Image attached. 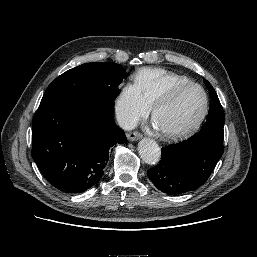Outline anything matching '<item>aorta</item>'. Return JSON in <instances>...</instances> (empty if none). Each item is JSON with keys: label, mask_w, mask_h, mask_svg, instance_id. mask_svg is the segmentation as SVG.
I'll return each mask as SVG.
<instances>
[{"label": "aorta", "mask_w": 257, "mask_h": 257, "mask_svg": "<svg viewBox=\"0 0 257 257\" xmlns=\"http://www.w3.org/2000/svg\"><path fill=\"white\" fill-rule=\"evenodd\" d=\"M138 152L141 159L149 165L157 164L161 157L160 147L149 138H144L139 142Z\"/></svg>", "instance_id": "obj_1"}]
</instances>
